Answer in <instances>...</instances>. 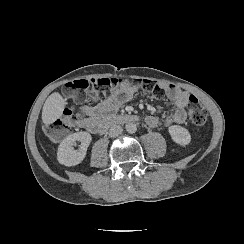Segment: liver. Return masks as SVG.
Wrapping results in <instances>:
<instances>
[{
  "label": "liver",
  "mask_w": 244,
  "mask_h": 244,
  "mask_svg": "<svg viewBox=\"0 0 244 244\" xmlns=\"http://www.w3.org/2000/svg\"><path fill=\"white\" fill-rule=\"evenodd\" d=\"M66 108V101L59 91L52 92L42 108V122L45 125L54 123L56 120L62 117Z\"/></svg>",
  "instance_id": "1"
}]
</instances>
